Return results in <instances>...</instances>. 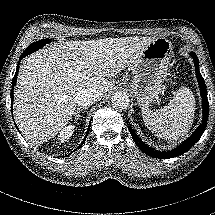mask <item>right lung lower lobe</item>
I'll use <instances>...</instances> for the list:
<instances>
[{
	"label": "right lung lower lobe",
	"instance_id": "obj_1",
	"mask_svg": "<svg viewBox=\"0 0 215 215\" xmlns=\"http://www.w3.org/2000/svg\"><path fill=\"white\" fill-rule=\"evenodd\" d=\"M27 55H29V54H27V53L24 51L23 54L21 55V57L19 58V62H18L17 68H16V73H15L14 78H13V80H12L11 109L13 108V107H12V105H13V88H14V86H15V84H16L17 74H18V71H19L20 61H21L24 57H26ZM90 125H91V122H90V124H89V128H88V130H87V133H86L85 138L83 139L81 145L84 143L85 139L87 138V135H88L89 130H90ZM81 145H80V146H81ZM80 146H79L78 148H80Z\"/></svg>",
	"mask_w": 215,
	"mask_h": 215
}]
</instances>
